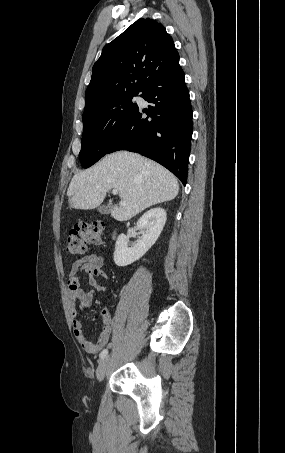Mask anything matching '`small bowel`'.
I'll return each instance as SVG.
<instances>
[{
	"instance_id": "c3829d8e",
	"label": "small bowel",
	"mask_w": 285,
	"mask_h": 453,
	"mask_svg": "<svg viewBox=\"0 0 285 453\" xmlns=\"http://www.w3.org/2000/svg\"><path fill=\"white\" fill-rule=\"evenodd\" d=\"M103 264L104 260L101 255L96 253L86 255L73 263L67 282L73 333L80 346L91 354L98 353L108 344L113 330L111 312L108 308L101 309L99 313L103 328L96 342L88 340L78 318L79 309L91 308L94 294L105 290V286L98 281L107 279ZM81 273L88 276L89 289L86 291L80 286L79 275Z\"/></svg>"
}]
</instances>
